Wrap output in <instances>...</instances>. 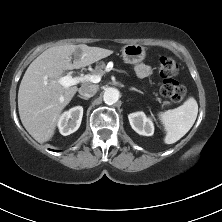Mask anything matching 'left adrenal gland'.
Segmentation results:
<instances>
[{
	"mask_svg": "<svg viewBox=\"0 0 222 222\" xmlns=\"http://www.w3.org/2000/svg\"><path fill=\"white\" fill-rule=\"evenodd\" d=\"M129 90H134V91H136V92H138V93L143 94V92H142V91H140V90H138V89H136V88H134V87L129 88Z\"/></svg>",
	"mask_w": 222,
	"mask_h": 222,
	"instance_id": "a2214340",
	"label": "left adrenal gland"
}]
</instances>
